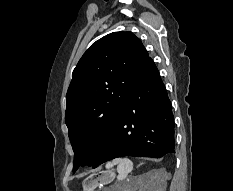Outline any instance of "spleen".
I'll list each match as a JSON object with an SVG mask.
<instances>
[{
	"label": "spleen",
	"instance_id": "1",
	"mask_svg": "<svg viewBox=\"0 0 233 191\" xmlns=\"http://www.w3.org/2000/svg\"><path fill=\"white\" fill-rule=\"evenodd\" d=\"M114 165H117L118 181H122L126 179L128 174L133 169V163L128 158H118V159L113 160L112 162H108L106 164V168L110 169Z\"/></svg>",
	"mask_w": 233,
	"mask_h": 191
}]
</instances>
